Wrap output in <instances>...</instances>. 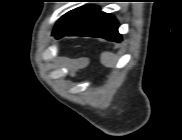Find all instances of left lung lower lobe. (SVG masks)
Here are the masks:
<instances>
[{
    "label": "left lung lower lobe",
    "instance_id": "left-lung-lower-lobe-1",
    "mask_svg": "<svg viewBox=\"0 0 182 140\" xmlns=\"http://www.w3.org/2000/svg\"><path fill=\"white\" fill-rule=\"evenodd\" d=\"M63 36H90L115 42L121 41L118 22L112 15L102 12L100 9L95 10Z\"/></svg>",
    "mask_w": 182,
    "mask_h": 140
}]
</instances>
